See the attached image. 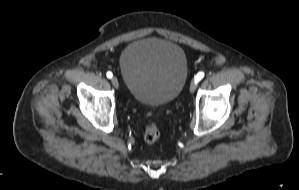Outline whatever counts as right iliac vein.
I'll list each match as a JSON object with an SVG mask.
<instances>
[{
  "mask_svg": "<svg viewBox=\"0 0 299 190\" xmlns=\"http://www.w3.org/2000/svg\"><path fill=\"white\" fill-rule=\"evenodd\" d=\"M111 83L113 86L118 87V79L117 77H112L111 78Z\"/></svg>",
  "mask_w": 299,
  "mask_h": 190,
  "instance_id": "right-iliac-vein-1",
  "label": "right iliac vein"
}]
</instances>
